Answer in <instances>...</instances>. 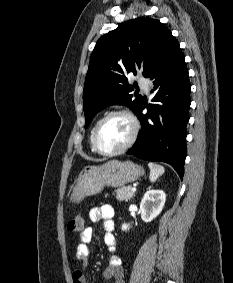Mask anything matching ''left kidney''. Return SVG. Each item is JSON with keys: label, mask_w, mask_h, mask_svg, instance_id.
Instances as JSON below:
<instances>
[{"label": "left kidney", "mask_w": 233, "mask_h": 283, "mask_svg": "<svg viewBox=\"0 0 233 283\" xmlns=\"http://www.w3.org/2000/svg\"><path fill=\"white\" fill-rule=\"evenodd\" d=\"M166 201V195L162 190H149L144 194L140 203L141 218L144 222H151L162 211ZM129 229V225L123 224L122 230Z\"/></svg>", "instance_id": "5707ae66"}]
</instances>
